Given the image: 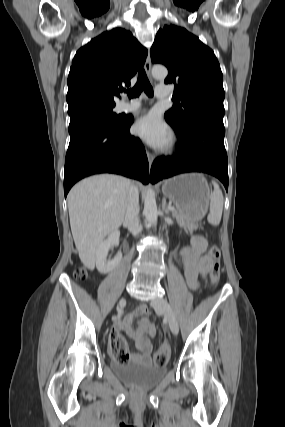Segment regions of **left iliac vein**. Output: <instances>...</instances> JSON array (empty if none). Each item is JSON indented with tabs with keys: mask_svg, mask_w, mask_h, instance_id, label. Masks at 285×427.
Listing matches in <instances>:
<instances>
[{
	"mask_svg": "<svg viewBox=\"0 0 285 427\" xmlns=\"http://www.w3.org/2000/svg\"><path fill=\"white\" fill-rule=\"evenodd\" d=\"M151 305L155 310L163 313L164 317L168 321V324L172 333L175 335L178 334V331H179L178 321L167 300H165L162 297L156 298L152 300Z\"/></svg>",
	"mask_w": 285,
	"mask_h": 427,
	"instance_id": "left-iliac-vein-1",
	"label": "left iliac vein"
}]
</instances>
